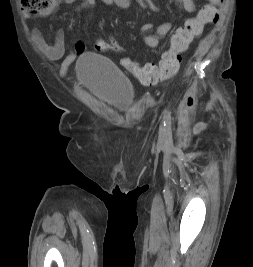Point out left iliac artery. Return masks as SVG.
<instances>
[{
    "label": "left iliac artery",
    "instance_id": "44dca946",
    "mask_svg": "<svg viewBox=\"0 0 253 267\" xmlns=\"http://www.w3.org/2000/svg\"><path fill=\"white\" fill-rule=\"evenodd\" d=\"M163 121H164V130H165L167 141H170L171 136H172V130H171L172 119H171V114L168 110L164 111Z\"/></svg>",
    "mask_w": 253,
    "mask_h": 267
}]
</instances>
